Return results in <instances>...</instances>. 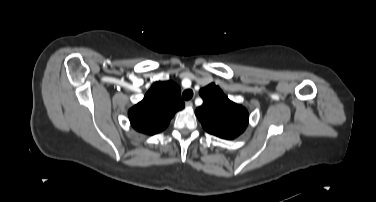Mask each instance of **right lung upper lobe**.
Segmentation results:
<instances>
[{
	"label": "right lung upper lobe",
	"mask_w": 376,
	"mask_h": 202,
	"mask_svg": "<svg viewBox=\"0 0 376 202\" xmlns=\"http://www.w3.org/2000/svg\"><path fill=\"white\" fill-rule=\"evenodd\" d=\"M180 95L181 89L173 81L155 82L143 100L129 110L132 127L147 135L163 131L175 113L185 106Z\"/></svg>",
	"instance_id": "cb5924a9"
}]
</instances>
